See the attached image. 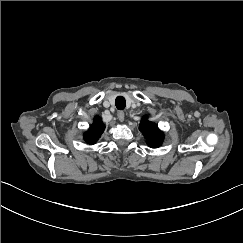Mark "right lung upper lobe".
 <instances>
[{
  "mask_svg": "<svg viewBox=\"0 0 243 243\" xmlns=\"http://www.w3.org/2000/svg\"><path fill=\"white\" fill-rule=\"evenodd\" d=\"M104 129L105 126L102 123V120L99 117H95L90 129L84 135V140L89 144L96 143Z\"/></svg>",
  "mask_w": 243,
  "mask_h": 243,
  "instance_id": "1",
  "label": "right lung upper lobe"
}]
</instances>
